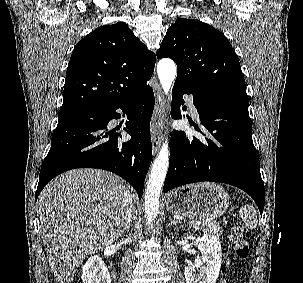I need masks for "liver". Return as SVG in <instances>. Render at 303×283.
<instances>
[{"instance_id": "liver-1", "label": "liver", "mask_w": 303, "mask_h": 283, "mask_svg": "<svg viewBox=\"0 0 303 283\" xmlns=\"http://www.w3.org/2000/svg\"><path fill=\"white\" fill-rule=\"evenodd\" d=\"M127 191L115 174L75 169L53 179L38 199L40 230L57 283H71L82 261L117 237Z\"/></svg>"}]
</instances>
